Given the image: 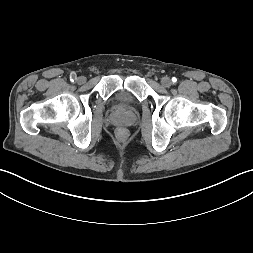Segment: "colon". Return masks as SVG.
Listing matches in <instances>:
<instances>
[{"label": "colon", "instance_id": "5ec220e1", "mask_svg": "<svg viewBox=\"0 0 253 253\" xmlns=\"http://www.w3.org/2000/svg\"><path fill=\"white\" fill-rule=\"evenodd\" d=\"M119 134H120L121 136H125L126 132H125L124 130H120V131H119Z\"/></svg>", "mask_w": 253, "mask_h": 253}]
</instances>
